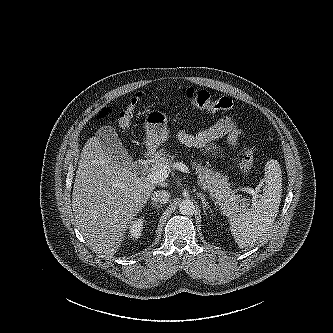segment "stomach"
I'll return each mask as SVG.
<instances>
[{
  "label": "stomach",
  "instance_id": "stomach-1",
  "mask_svg": "<svg viewBox=\"0 0 333 333\" xmlns=\"http://www.w3.org/2000/svg\"><path fill=\"white\" fill-rule=\"evenodd\" d=\"M146 147L149 154L165 143L169 137L167 117L160 111H149L145 116Z\"/></svg>",
  "mask_w": 333,
  "mask_h": 333
}]
</instances>
